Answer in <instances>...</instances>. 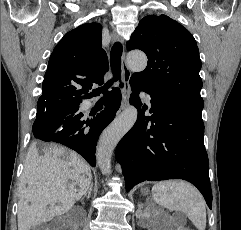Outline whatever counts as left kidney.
<instances>
[{"label":"left kidney","mask_w":241,"mask_h":230,"mask_svg":"<svg viewBox=\"0 0 241 230\" xmlns=\"http://www.w3.org/2000/svg\"><path fill=\"white\" fill-rule=\"evenodd\" d=\"M157 215V212H151L148 213V221L146 225L149 227L148 230H174V227L169 224H160L159 222L155 221V217ZM178 230H183L182 228H179Z\"/></svg>","instance_id":"5707ae66"}]
</instances>
